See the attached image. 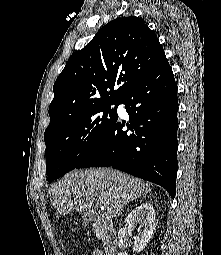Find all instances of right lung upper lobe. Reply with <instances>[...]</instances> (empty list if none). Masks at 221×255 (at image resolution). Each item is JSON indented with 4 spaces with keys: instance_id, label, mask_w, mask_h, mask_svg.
Listing matches in <instances>:
<instances>
[{
    "instance_id": "right-lung-upper-lobe-1",
    "label": "right lung upper lobe",
    "mask_w": 221,
    "mask_h": 255,
    "mask_svg": "<svg viewBox=\"0 0 221 255\" xmlns=\"http://www.w3.org/2000/svg\"><path fill=\"white\" fill-rule=\"evenodd\" d=\"M164 56L156 34L142 19L129 16L109 22L68 59L57 77L45 131L83 108L119 102Z\"/></svg>"
}]
</instances>
